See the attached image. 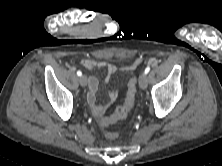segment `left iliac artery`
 I'll use <instances>...</instances> for the list:
<instances>
[{
  "label": "left iliac artery",
  "instance_id": "left-iliac-artery-1",
  "mask_svg": "<svg viewBox=\"0 0 222 166\" xmlns=\"http://www.w3.org/2000/svg\"><path fill=\"white\" fill-rule=\"evenodd\" d=\"M149 71H150V66H147V67L145 68L144 73H145V74H148V73H149Z\"/></svg>",
  "mask_w": 222,
  "mask_h": 166
}]
</instances>
